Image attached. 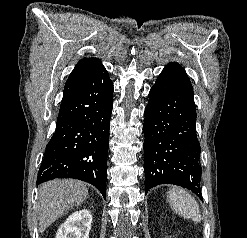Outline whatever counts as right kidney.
<instances>
[{
  "mask_svg": "<svg viewBox=\"0 0 247 238\" xmlns=\"http://www.w3.org/2000/svg\"><path fill=\"white\" fill-rule=\"evenodd\" d=\"M92 216L88 209L72 213L60 226L56 238H89Z\"/></svg>",
  "mask_w": 247,
  "mask_h": 238,
  "instance_id": "ca27d5eb",
  "label": "right kidney"
}]
</instances>
